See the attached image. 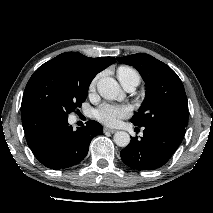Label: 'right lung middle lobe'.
<instances>
[{
    "mask_svg": "<svg viewBox=\"0 0 213 213\" xmlns=\"http://www.w3.org/2000/svg\"><path fill=\"white\" fill-rule=\"evenodd\" d=\"M91 81L72 68L48 61L29 79L21 107H37L68 118L86 100Z\"/></svg>",
    "mask_w": 213,
    "mask_h": 213,
    "instance_id": "obj_1",
    "label": "right lung middle lobe"
}]
</instances>
